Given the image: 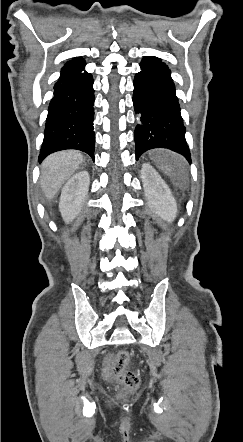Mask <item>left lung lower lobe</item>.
<instances>
[{"label":"left lung lower lobe","mask_w":243,"mask_h":442,"mask_svg":"<svg viewBox=\"0 0 243 442\" xmlns=\"http://www.w3.org/2000/svg\"><path fill=\"white\" fill-rule=\"evenodd\" d=\"M140 66L133 91L134 108L140 116L135 128L136 160L149 149L167 148L191 162L170 70L157 57H144Z\"/></svg>","instance_id":"1"}]
</instances>
